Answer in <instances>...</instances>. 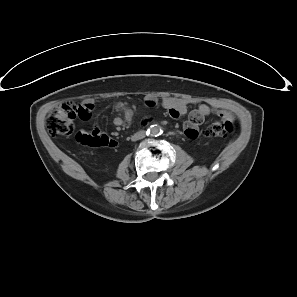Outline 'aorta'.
I'll list each match as a JSON object with an SVG mask.
<instances>
[{"label":"aorta","instance_id":"obj_1","mask_svg":"<svg viewBox=\"0 0 297 297\" xmlns=\"http://www.w3.org/2000/svg\"><path fill=\"white\" fill-rule=\"evenodd\" d=\"M150 133L151 135L153 136H159L163 133V129L161 126L159 125H153L151 128H150Z\"/></svg>","mask_w":297,"mask_h":297}]
</instances>
